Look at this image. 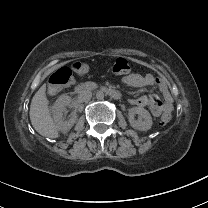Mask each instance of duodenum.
I'll return each mask as SVG.
<instances>
[{
    "instance_id": "duodenum-1",
    "label": "duodenum",
    "mask_w": 208,
    "mask_h": 208,
    "mask_svg": "<svg viewBox=\"0 0 208 208\" xmlns=\"http://www.w3.org/2000/svg\"><path fill=\"white\" fill-rule=\"evenodd\" d=\"M96 88V85L94 83H82L80 85L77 86L76 91L78 93H82L84 91L87 90H92ZM103 92H105L107 95H109L110 97H112L113 99H119L120 98V93L110 87H102L101 88Z\"/></svg>"
}]
</instances>
